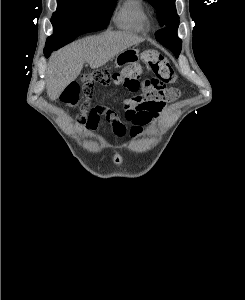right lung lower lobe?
<instances>
[{"instance_id": "obj_1", "label": "right lung lower lobe", "mask_w": 245, "mask_h": 300, "mask_svg": "<svg viewBox=\"0 0 245 300\" xmlns=\"http://www.w3.org/2000/svg\"><path fill=\"white\" fill-rule=\"evenodd\" d=\"M82 34L88 33V32H93V31H99L103 30L106 28V25L103 23L99 22L98 20H89L85 21L82 25ZM53 49H45L44 48V54L48 58L50 54L53 52Z\"/></svg>"}]
</instances>
